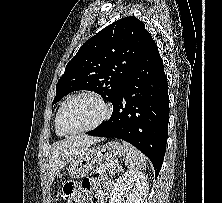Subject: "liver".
<instances>
[{
    "label": "liver",
    "mask_w": 222,
    "mask_h": 203,
    "mask_svg": "<svg viewBox=\"0 0 222 203\" xmlns=\"http://www.w3.org/2000/svg\"><path fill=\"white\" fill-rule=\"evenodd\" d=\"M100 140V138L88 135H78L54 143L49 152V180L53 182L60 170L71 161L75 155Z\"/></svg>",
    "instance_id": "liver-1"
}]
</instances>
